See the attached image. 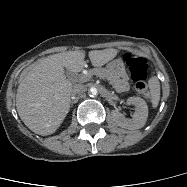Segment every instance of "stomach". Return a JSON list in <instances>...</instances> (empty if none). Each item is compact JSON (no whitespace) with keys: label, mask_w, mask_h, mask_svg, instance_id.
Instances as JSON below:
<instances>
[{"label":"stomach","mask_w":187,"mask_h":187,"mask_svg":"<svg viewBox=\"0 0 187 187\" xmlns=\"http://www.w3.org/2000/svg\"><path fill=\"white\" fill-rule=\"evenodd\" d=\"M107 69L111 75L122 81L128 80L125 65L121 59H115L107 65Z\"/></svg>","instance_id":"0dacf381"}]
</instances>
